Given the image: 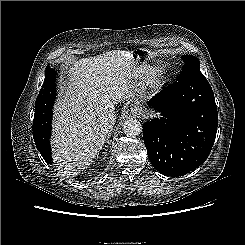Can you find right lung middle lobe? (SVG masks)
<instances>
[{
  "instance_id": "dd1d6c3e",
  "label": "right lung middle lobe",
  "mask_w": 245,
  "mask_h": 245,
  "mask_svg": "<svg viewBox=\"0 0 245 245\" xmlns=\"http://www.w3.org/2000/svg\"><path fill=\"white\" fill-rule=\"evenodd\" d=\"M56 91V72L49 65H47L44 83L36 99L34 117H52V109L56 98Z\"/></svg>"
}]
</instances>
